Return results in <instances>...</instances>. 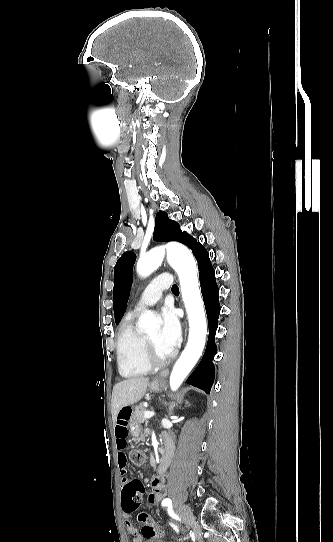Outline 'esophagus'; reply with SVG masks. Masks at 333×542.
I'll use <instances>...</instances> for the list:
<instances>
[{"mask_svg":"<svg viewBox=\"0 0 333 542\" xmlns=\"http://www.w3.org/2000/svg\"><path fill=\"white\" fill-rule=\"evenodd\" d=\"M164 267H165V268L167 267V262H166V261L164 262ZM179 306H181V302H179ZM187 329H188L187 323L185 322V338H186V336H187ZM168 373H169V370H168V369H163V370H161L160 373H159V375H158V377H156L155 379H153L152 382H158L160 379L167 377Z\"/></svg>","mask_w":333,"mask_h":542,"instance_id":"esophagus-1","label":"esophagus"}]
</instances>
